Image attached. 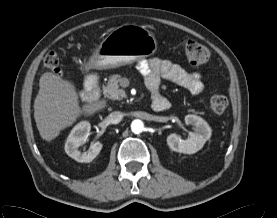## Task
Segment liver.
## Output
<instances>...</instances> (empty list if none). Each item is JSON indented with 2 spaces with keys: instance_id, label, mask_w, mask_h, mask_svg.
<instances>
[{
  "instance_id": "liver-1",
  "label": "liver",
  "mask_w": 277,
  "mask_h": 218,
  "mask_svg": "<svg viewBox=\"0 0 277 218\" xmlns=\"http://www.w3.org/2000/svg\"><path fill=\"white\" fill-rule=\"evenodd\" d=\"M39 87L34 100V118L41 138L46 141L55 139L81 114L92 115L106 106L105 101H98L81 108L73 83L50 72L41 76Z\"/></svg>"
}]
</instances>
